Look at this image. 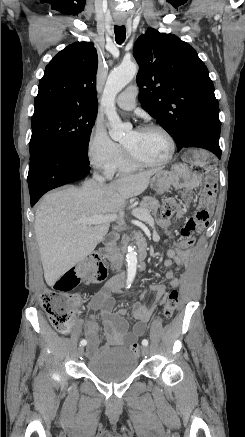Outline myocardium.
I'll list each match as a JSON object with an SVG mask.
<instances>
[{
    "label": "myocardium",
    "instance_id": "1",
    "mask_svg": "<svg viewBox=\"0 0 245 437\" xmlns=\"http://www.w3.org/2000/svg\"><path fill=\"white\" fill-rule=\"evenodd\" d=\"M137 130H157L161 132L168 141L169 150L166 157L161 160L146 161L134 156L127 147L123 145L125 157L129 162L138 167H161L168 164L173 159L176 152V142L172 134L164 126L155 123H148L140 126Z\"/></svg>",
    "mask_w": 245,
    "mask_h": 437
}]
</instances>
